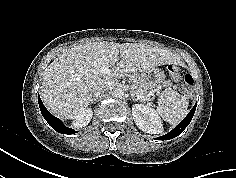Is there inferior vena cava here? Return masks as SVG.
I'll return each mask as SVG.
<instances>
[{"label":"inferior vena cava","mask_w":236,"mask_h":178,"mask_svg":"<svg viewBox=\"0 0 236 178\" xmlns=\"http://www.w3.org/2000/svg\"><path fill=\"white\" fill-rule=\"evenodd\" d=\"M110 86H111V82H105L104 84L96 85L92 89V94L94 95V97H98L102 93H104L105 90H107V88H109Z\"/></svg>","instance_id":"602c4592"}]
</instances>
